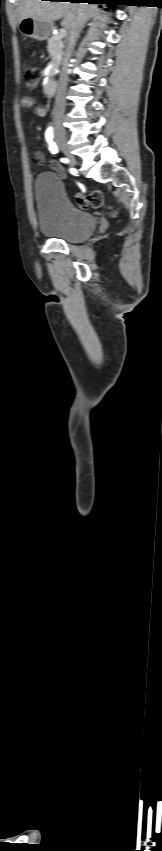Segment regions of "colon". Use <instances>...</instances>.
Segmentation results:
<instances>
[{"label": "colon", "instance_id": "5ec220e1", "mask_svg": "<svg viewBox=\"0 0 162 851\" xmlns=\"http://www.w3.org/2000/svg\"><path fill=\"white\" fill-rule=\"evenodd\" d=\"M24 79L27 89L32 92L38 86L39 72L28 68L24 71ZM76 202L81 209H98L104 205V195L100 190H93L87 196L77 195Z\"/></svg>", "mask_w": 162, "mask_h": 851}]
</instances>
